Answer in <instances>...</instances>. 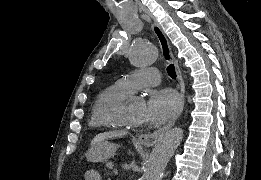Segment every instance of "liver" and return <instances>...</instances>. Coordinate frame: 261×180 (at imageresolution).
Returning <instances> with one entry per match:
<instances>
[{"label":"liver","instance_id":"6515ba94","mask_svg":"<svg viewBox=\"0 0 261 180\" xmlns=\"http://www.w3.org/2000/svg\"><path fill=\"white\" fill-rule=\"evenodd\" d=\"M128 132L126 130H115V132H103V134H97L95 138H93L91 142V146L94 144H100V142H104V140H115V138H122V136H127Z\"/></svg>","mask_w":261,"mask_h":180}]
</instances>
